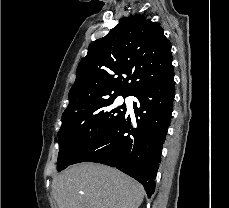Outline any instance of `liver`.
<instances>
[{
	"instance_id": "6515ba94",
	"label": "liver",
	"mask_w": 229,
	"mask_h": 208,
	"mask_svg": "<svg viewBox=\"0 0 229 208\" xmlns=\"http://www.w3.org/2000/svg\"><path fill=\"white\" fill-rule=\"evenodd\" d=\"M52 188L58 208H139L145 194L136 180L93 162L70 166Z\"/></svg>"
}]
</instances>
